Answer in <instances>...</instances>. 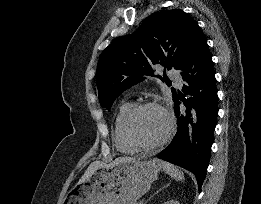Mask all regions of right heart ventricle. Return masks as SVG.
I'll list each match as a JSON object with an SVG mask.
<instances>
[{
    "instance_id": "right-heart-ventricle-1",
    "label": "right heart ventricle",
    "mask_w": 261,
    "mask_h": 204,
    "mask_svg": "<svg viewBox=\"0 0 261 204\" xmlns=\"http://www.w3.org/2000/svg\"><path fill=\"white\" fill-rule=\"evenodd\" d=\"M133 106H134L133 103L129 102V101H126V102H123L122 104H120V106L118 107L117 112L115 114L114 121H113L112 135H113L114 145L119 152L125 153V154H131V153L136 152V150H137L136 148H134L131 144H129L127 142V140L125 139V137L123 135V131H122V124H123L124 118Z\"/></svg>"
}]
</instances>
